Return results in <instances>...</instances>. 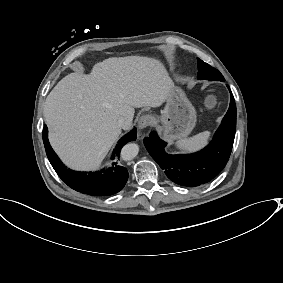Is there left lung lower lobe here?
I'll return each instance as SVG.
<instances>
[{
    "mask_svg": "<svg viewBox=\"0 0 283 283\" xmlns=\"http://www.w3.org/2000/svg\"><path fill=\"white\" fill-rule=\"evenodd\" d=\"M230 106L213 140L203 150L188 155H170L166 142L156 132L144 138V145L165 175L175 184L195 187L211 181L225 167L236 130V105L230 88Z\"/></svg>",
    "mask_w": 283,
    "mask_h": 283,
    "instance_id": "obj_1",
    "label": "left lung lower lobe"
}]
</instances>
